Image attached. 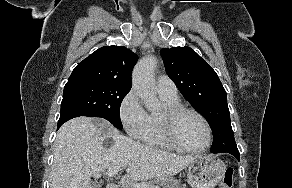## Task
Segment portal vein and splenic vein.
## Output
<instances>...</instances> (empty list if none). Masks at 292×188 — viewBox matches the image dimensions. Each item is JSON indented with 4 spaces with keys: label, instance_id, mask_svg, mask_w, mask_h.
<instances>
[{
    "label": "portal vein and splenic vein",
    "instance_id": "1",
    "mask_svg": "<svg viewBox=\"0 0 292 188\" xmlns=\"http://www.w3.org/2000/svg\"><path fill=\"white\" fill-rule=\"evenodd\" d=\"M121 170L120 167H113V168H110L108 169L107 171V175L109 177H113L114 175H116L119 171ZM132 188H158V186H149V185H145V184H142V183H134L131 185Z\"/></svg>",
    "mask_w": 292,
    "mask_h": 188
}]
</instances>
